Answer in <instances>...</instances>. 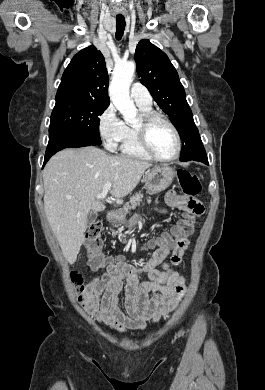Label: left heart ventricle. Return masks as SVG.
Returning <instances> with one entry per match:
<instances>
[{
	"label": "left heart ventricle",
	"instance_id": "left-heart-ventricle-1",
	"mask_svg": "<svg viewBox=\"0 0 265 390\" xmlns=\"http://www.w3.org/2000/svg\"><path fill=\"white\" fill-rule=\"evenodd\" d=\"M149 143L161 157H171L176 149V140L172 130L165 123L157 121L149 128Z\"/></svg>",
	"mask_w": 265,
	"mask_h": 390
}]
</instances>
